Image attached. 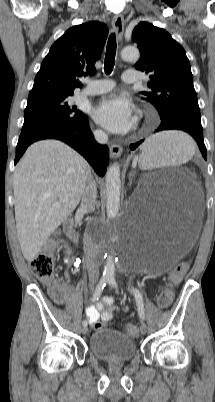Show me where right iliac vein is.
<instances>
[{"mask_svg": "<svg viewBox=\"0 0 215 402\" xmlns=\"http://www.w3.org/2000/svg\"><path fill=\"white\" fill-rule=\"evenodd\" d=\"M81 331H82L83 334H87V332H88L87 326H83Z\"/></svg>", "mask_w": 215, "mask_h": 402, "instance_id": "obj_1", "label": "right iliac vein"}]
</instances>
